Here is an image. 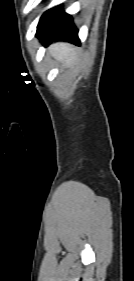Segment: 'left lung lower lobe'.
<instances>
[{"label": "left lung lower lobe", "mask_w": 134, "mask_h": 281, "mask_svg": "<svg viewBox=\"0 0 134 281\" xmlns=\"http://www.w3.org/2000/svg\"><path fill=\"white\" fill-rule=\"evenodd\" d=\"M37 36L44 45L52 40H65L79 45L78 31L70 15L62 11L61 5L46 11L38 24Z\"/></svg>", "instance_id": "left-lung-lower-lobe-1"}]
</instances>
